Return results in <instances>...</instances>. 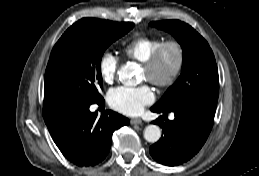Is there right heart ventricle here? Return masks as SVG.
Here are the masks:
<instances>
[{"instance_id": "obj_1", "label": "right heart ventricle", "mask_w": 259, "mask_h": 176, "mask_svg": "<svg viewBox=\"0 0 259 176\" xmlns=\"http://www.w3.org/2000/svg\"><path fill=\"white\" fill-rule=\"evenodd\" d=\"M162 42L163 38L159 36H137L128 41L123 52L129 59L143 63Z\"/></svg>"}]
</instances>
